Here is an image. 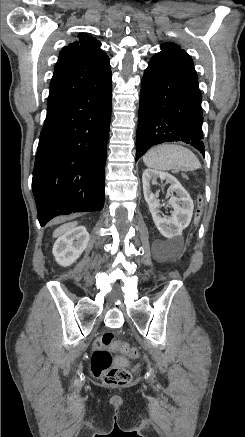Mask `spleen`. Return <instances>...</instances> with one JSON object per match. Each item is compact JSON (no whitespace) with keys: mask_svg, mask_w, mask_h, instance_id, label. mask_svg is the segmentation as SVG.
I'll list each match as a JSON object with an SVG mask.
<instances>
[{"mask_svg":"<svg viewBox=\"0 0 245 437\" xmlns=\"http://www.w3.org/2000/svg\"><path fill=\"white\" fill-rule=\"evenodd\" d=\"M145 165L156 170L193 171L201 167L196 155L177 144H161L151 148L143 157Z\"/></svg>","mask_w":245,"mask_h":437,"instance_id":"3e777b00","label":"spleen"}]
</instances>
